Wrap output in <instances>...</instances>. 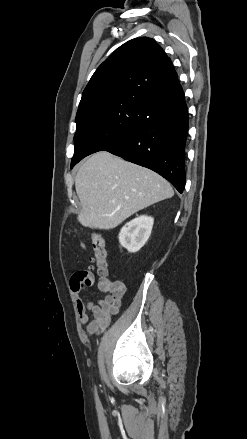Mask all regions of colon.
<instances>
[{
	"mask_svg": "<svg viewBox=\"0 0 247 439\" xmlns=\"http://www.w3.org/2000/svg\"><path fill=\"white\" fill-rule=\"evenodd\" d=\"M91 247V270L95 271L100 277L101 283L108 274V253L103 237L98 233H93L90 238Z\"/></svg>",
	"mask_w": 247,
	"mask_h": 439,
	"instance_id": "obj_1",
	"label": "colon"
}]
</instances>
